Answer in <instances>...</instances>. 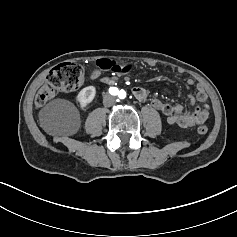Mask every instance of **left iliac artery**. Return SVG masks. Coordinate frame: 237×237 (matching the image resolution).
<instances>
[{"instance_id":"1","label":"left iliac artery","mask_w":237,"mask_h":237,"mask_svg":"<svg viewBox=\"0 0 237 237\" xmlns=\"http://www.w3.org/2000/svg\"><path fill=\"white\" fill-rule=\"evenodd\" d=\"M119 96L124 98L126 96V92L124 90H121L119 92Z\"/></svg>"}]
</instances>
